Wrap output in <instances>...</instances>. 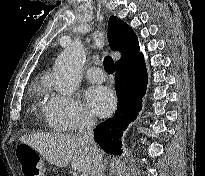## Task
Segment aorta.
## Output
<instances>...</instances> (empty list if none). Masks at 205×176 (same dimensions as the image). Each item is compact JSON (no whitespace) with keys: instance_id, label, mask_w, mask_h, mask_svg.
Instances as JSON below:
<instances>
[{"instance_id":"obj_1","label":"aorta","mask_w":205,"mask_h":176,"mask_svg":"<svg viewBox=\"0 0 205 176\" xmlns=\"http://www.w3.org/2000/svg\"><path fill=\"white\" fill-rule=\"evenodd\" d=\"M86 51L80 42L64 49L54 64V88L62 95H71L78 88L83 72Z\"/></svg>"}]
</instances>
